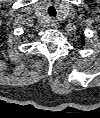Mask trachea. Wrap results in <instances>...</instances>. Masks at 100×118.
Instances as JSON below:
<instances>
[{"label": "trachea", "mask_w": 100, "mask_h": 118, "mask_svg": "<svg viewBox=\"0 0 100 118\" xmlns=\"http://www.w3.org/2000/svg\"><path fill=\"white\" fill-rule=\"evenodd\" d=\"M49 14H50V16H55L56 15V12H55V10L53 8H51L49 10Z\"/></svg>", "instance_id": "trachea-1"}]
</instances>
